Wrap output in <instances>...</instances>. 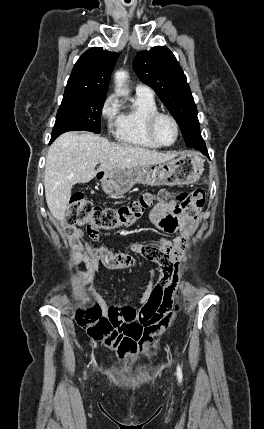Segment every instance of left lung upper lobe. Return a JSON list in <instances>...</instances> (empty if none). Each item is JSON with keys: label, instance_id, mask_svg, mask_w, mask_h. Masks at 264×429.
<instances>
[{"label": "left lung upper lobe", "instance_id": "obj_1", "mask_svg": "<svg viewBox=\"0 0 264 429\" xmlns=\"http://www.w3.org/2000/svg\"><path fill=\"white\" fill-rule=\"evenodd\" d=\"M133 67L140 80L154 89L174 116L186 145L206 149L190 87L173 53L163 46L141 51L135 57Z\"/></svg>", "mask_w": 264, "mask_h": 429}]
</instances>
